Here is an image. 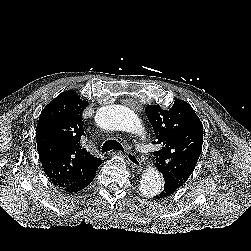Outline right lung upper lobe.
<instances>
[{"label":"right lung upper lobe","mask_w":251,"mask_h":251,"mask_svg":"<svg viewBox=\"0 0 251 251\" xmlns=\"http://www.w3.org/2000/svg\"><path fill=\"white\" fill-rule=\"evenodd\" d=\"M89 103L75 90L61 93L41 112L37 150L42 167L58 187L80 186L93 177L103 162L82 146L83 110Z\"/></svg>","instance_id":"right-lung-upper-lobe-1"}]
</instances>
